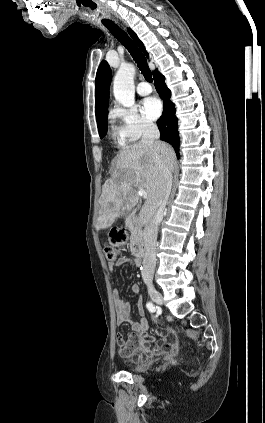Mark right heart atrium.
<instances>
[{
	"mask_svg": "<svg viewBox=\"0 0 265 423\" xmlns=\"http://www.w3.org/2000/svg\"><path fill=\"white\" fill-rule=\"evenodd\" d=\"M113 120L119 123L117 131L127 141H135L154 129V123L142 115L136 107L115 106L111 111Z\"/></svg>",
	"mask_w": 265,
	"mask_h": 423,
	"instance_id": "right-heart-atrium-1",
	"label": "right heart atrium"
}]
</instances>
